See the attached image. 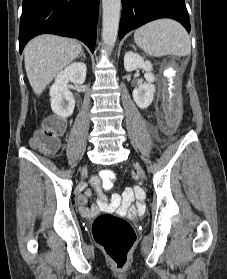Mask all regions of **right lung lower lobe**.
Instances as JSON below:
<instances>
[{
  "instance_id": "obj_1",
  "label": "right lung lower lobe",
  "mask_w": 227,
  "mask_h": 279,
  "mask_svg": "<svg viewBox=\"0 0 227 279\" xmlns=\"http://www.w3.org/2000/svg\"><path fill=\"white\" fill-rule=\"evenodd\" d=\"M99 0H23L19 50L43 33L72 37L94 52Z\"/></svg>"
}]
</instances>
